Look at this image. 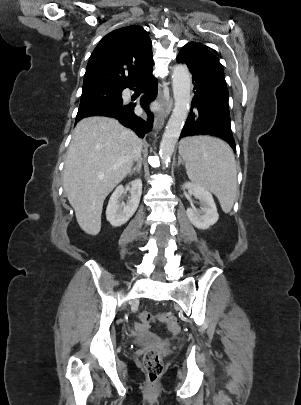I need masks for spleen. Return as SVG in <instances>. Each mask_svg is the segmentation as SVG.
I'll return each mask as SVG.
<instances>
[{
  "instance_id": "obj_1",
  "label": "spleen",
  "mask_w": 301,
  "mask_h": 405,
  "mask_svg": "<svg viewBox=\"0 0 301 405\" xmlns=\"http://www.w3.org/2000/svg\"><path fill=\"white\" fill-rule=\"evenodd\" d=\"M189 179L218 198L225 213L230 212L237 190L236 161L231 148L209 136L186 137L179 144Z\"/></svg>"
}]
</instances>
